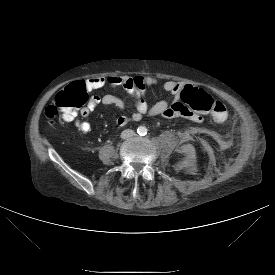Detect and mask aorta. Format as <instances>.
I'll use <instances>...</instances> for the list:
<instances>
[{
  "mask_svg": "<svg viewBox=\"0 0 275 275\" xmlns=\"http://www.w3.org/2000/svg\"><path fill=\"white\" fill-rule=\"evenodd\" d=\"M137 132L139 135H145L147 133V128L144 126H140L138 127Z\"/></svg>",
  "mask_w": 275,
  "mask_h": 275,
  "instance_id": "762f6f07",
  "label": "aorta"
}]
</instances>
